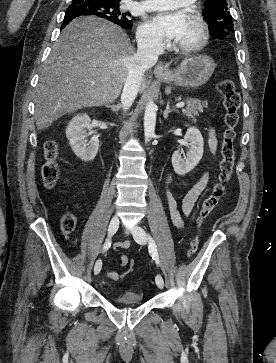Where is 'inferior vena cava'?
Listing matches in <instances>:
<instances>
[{
	"label": "inferior vena cava",
	"mask_w": 276,
	"mask_h": 363,
	"mask_svg": "<svg viewBox=\"0 0 276 363\" xmlns=\"http://www.w3.org/2000/svg\"><path fill=\"white\" fill-rule=\"evenodd\" d=\"M137 45V53L128 63V76L121 95L124 111L128 110L134 102L144 72L156 64L158 56L164 51L162 37L156 35H143L138 39Z\"/></svg>",
	"instance_id": "inferior-vena-cava-1"
}]
</instances>
